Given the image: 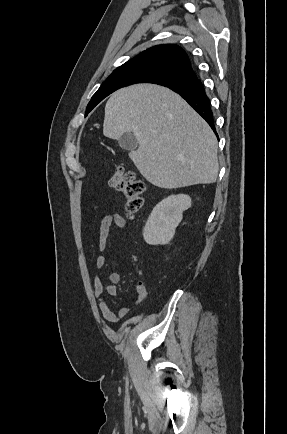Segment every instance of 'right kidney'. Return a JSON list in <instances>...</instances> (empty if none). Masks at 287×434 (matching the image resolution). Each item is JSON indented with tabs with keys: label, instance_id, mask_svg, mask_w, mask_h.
Listing matches in <instances>:
<instances>
[{
	"label": "right kidney",
	"instance_id": "right-kidney-1",
	"mask_svg": "<svg viewBox=\"0 0 287 434\" xmlns=\"http://www.w3.org/2000/svg\"><path fill=\"white\" fill-rule=\"evenodd\" d=\"M190 207L191 198L186 194L171 195L159 202L144 227L145 242L149 245L168 244L182 221L183 211Z\"/></svg>",
	"mask_w": 287,
	"mask_h": 434
}]
</instances>
